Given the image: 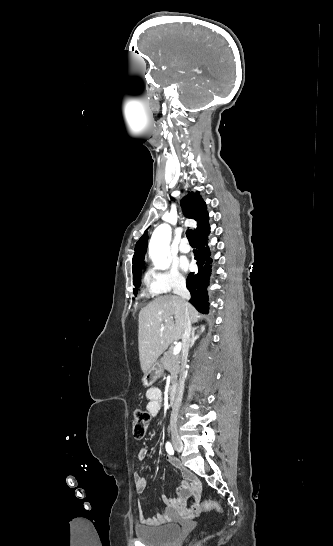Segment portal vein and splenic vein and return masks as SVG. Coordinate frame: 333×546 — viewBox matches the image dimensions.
<instances>
[{
    "mask_svg": "<svg viewBox=\"0 0 333 546\" xmlns=\"http://www.w3.org/2000/svg\"><path fill=\"white\" fill-rule=\"evenodd\" d=\"M182 349V344L177 343L173 349V355H178Z\"/></svg>",
    "mask_w": 333,
    "mask_h": 546,
    "instance_id": "1",
    "label": "portal vein and splenic vein"
}]
</instances>
